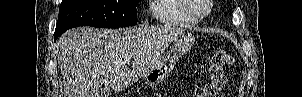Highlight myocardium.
I'll return each instance as SVG.
<instances>
[{"mask_svg":"<svg viewBox=\"0 0 302 97\" xmlns=\"http://www.w3.org/2000/svg\"><path fill=\"white\" fill-rule=\"evenodd\" d=\"M181 4H182L184 12L187 15H189L193 19L202 20V19H204L205 17H207L211 13L212 6H213V0H206L207 11L205 13H202V14L196 13L192 9V6H191L189 0H181Z\"/></svg>","mask_w":302,"mask_h":97,"instance_id":"1","label":"myocardium"}]
</instances>
